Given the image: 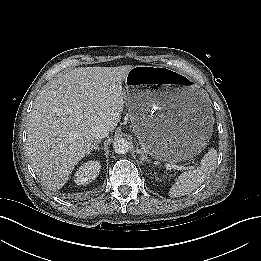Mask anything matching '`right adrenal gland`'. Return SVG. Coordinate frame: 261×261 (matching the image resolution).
<instances>
[{
	"label": "right adrenal gland",
	"instance_id": "1",
	"mask_svg": "<svg viewBox=\"0 0 261 261\" xmlns=\"http://www.w3.org/2000/svg\"><path fill=\"white\" fill-rule=\"evenodd\" d=\"M101 142V140H96L94 143H93V146L89 152V154L93 151V150H96V151H99L100 147H99V143Z\"/></svg>",
	"mask_w": 261,
	"mask_h": 261
}]
</instances>
